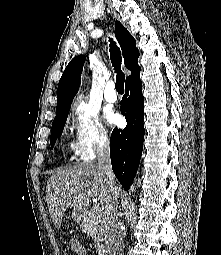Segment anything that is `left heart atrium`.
<instances>
[{"label":"left heart atrium","mask_w":221,"mask_h":255,"mask_svg":"<svg viewBox=\"0 0 221 255\" xmlns=\"http://www.w3.org/2000/svg\"><path fill=\"white\" fill-rule=\"evenodd\" d=\"M104 116L108 124H114L119 119L118 115L112 109H105Z\"/></svg>","instance_id":"39dd6f15"}]
</instances>
